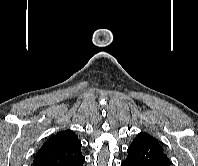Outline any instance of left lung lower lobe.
<instances>
[{
    "instance_id": "0a47b994",
    "label": "left lung lower lobe",
    "mask_w": 198,
    "mask_h": 166,
    "mask_svg": "<svg viewBox=\"0 0 198 166\" xmlns=\"http://www.w3.org/2000/svg\"><path fill=\"white\" fill-rule=\"evenodd\" d=\"M121 165L122 166H139V165L133 163L132 161H130L128 159H126L125 161H123Z\"/></svg>"
}]
</instances>
